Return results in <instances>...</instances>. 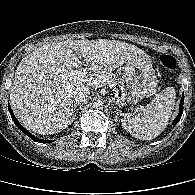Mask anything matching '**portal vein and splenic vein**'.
Masks as SVG:
<instances>
[{
  "label": "portal vein and splenic vein",
  "instance_id": "18ae733b",
  "mask_svg": "<svg viewBox=\"0 0 195 195\" xmlns=\"http://www.w3.org/2000/svg\"><path fill=\"white\" fill-rule=\"evenodd\" d=\"M62 77H70V78H75L80 81L86 82L88 85L95 86L100 83H105L107 82V78L105 75H89L88 72L83 69V70H70V71H65V73L62 75ZM110 88H113L114 85H112L110 82H107ZM114 91L116 92L115 96L117 98V102L119 105H123L121 101L119 100V93L118 90L114 88Z\"/></svg>",
  "mask_w": 195,
  "mask_h": 195
}]
</instances>
